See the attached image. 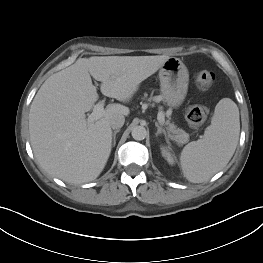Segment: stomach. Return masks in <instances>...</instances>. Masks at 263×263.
I'll return each instance as SVG.
<instances>
[{
	"label": "stomach",
	"instance_id": "0dacf381",
	"mask_svg": "<svg viewBox=\"0 0 263 263\" xmlns=\"http://www.w3.org/2000/svg\"><path fill=\"white\" fill-rule=\"evenodd\" d=\"M160 89L164 101L172 108L179 107L187 94L189 73L179 58L169 57L159 70Z\"/></svg>",
	"mask_w": 263,
	"mask_h": 263
}]
</instances>
